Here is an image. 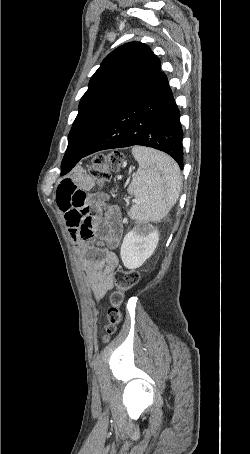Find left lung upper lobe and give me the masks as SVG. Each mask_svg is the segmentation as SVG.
<instances>
[{
  "mask_svg": "<svg viewBox=\"0 0 250 454\" xmlns=\"http://www.w3.org/2000/svg\"><path fill=\"white\" fill-rule=\"evenodd\" d=\"M160 70L159 58L141 42L126 43L112 51L81 98L65 154L82 155L104 123Z\"/></svg>",
  "mask_w": 250,
  "mask_h": 454,
  "instance_id": "left-lung-upper-lobe-1",
  "label": "left lung upper lobe"
}]
</instances>
